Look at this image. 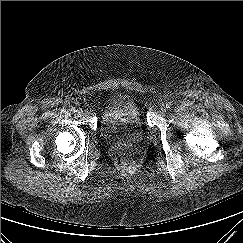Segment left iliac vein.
I'll list each match as a JSON object with an SVG mask.
<instances>
[{
  "instance_id": "4c4485c4",
  "label": "left iliac vein",
  "mask_w": 243,
  "mask_h": 243,
  "mask_svg": "<svg viewBox=\"0 0 243 243\" xmlns=\"http://www.w3.org/2000/svg\"><path fill=\"white\" fill-rule=\"evenodd\" d=\"M161 110H162L163 112H166L167 107L163 104V105H161Z\"/></svg>"
}]
</instances>
